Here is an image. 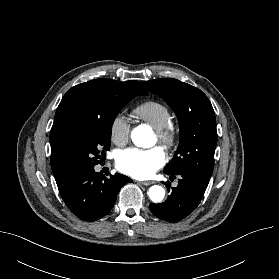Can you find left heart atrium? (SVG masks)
Returning <instances> with one entry per match:
<instances>
[{"label":"left heart atrium","instance_id":"left-heart-atrium-1","mask_svg":"<svg viewBox=\"0 0 279 279\" xmlns=\"http://www.w3.org/2000/svg\"><path fill=\"white\" fill-rule=\"evenodd\" d=\"M166 162L162 148L150 149L128 148L118 152L116 156L117 168L137 179L151 177Z\"/></svg>","mask_w":279,"mask_h":279}]
</instances>
